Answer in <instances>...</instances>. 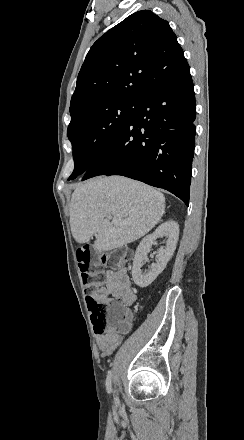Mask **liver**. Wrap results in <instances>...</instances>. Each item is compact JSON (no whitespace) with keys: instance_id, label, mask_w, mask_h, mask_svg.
I'll return each instance as SVG.
<instances>
[{"instance_id":"obj_1","label":"liver","mask_w":244,"mask_h":440,"mask_svg":"<svg viewBox=\"0 0 244 440\" xmlns=\"http://www.w3.org/2000/svg\"><path fill=\"white\" fill-rule=\"evenodd\" d=\"M165 214L161 192L124 176L91 178L76 188L70 204V228L78 244L95 236L94 250L108 252L148 234ZM115 216L127 220L114 226Z\"/></svg>"}]
</instances>
